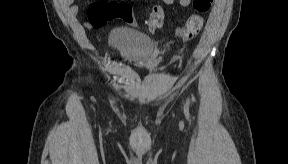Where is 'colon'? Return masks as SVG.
<instances>
[{
	"mask_svg": "<svg viewBox=\"0 0 288 164\" xmlns=\"http://www.w3.org/2000/svg\"><path fill=\"white\" fill-rule=\"evenodd\" d=\"M211 4V0H194L195 13L190 15L185 24L177 31V36L181 40H191L200 33L203 27L201 14L206 13ZM116 18L129 22L134 20L133 12L125 1L95 0L89 7L88 20L94 27H103ZM165 20L166 15L163 8L159 5L154 6L146 20L147 30L151 33L160 31L164 27Z\"/></svg>",
	"mask_w": 288,
	"mask_h": 164,
	"instance_id": "1",
	"label": "colon"
}]
</instances>
